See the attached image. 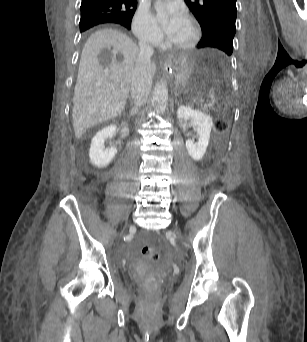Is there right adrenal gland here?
<instances>
[{"label":"right adrenal gland","instance_id":"1","mask_svg":"<svg viewBox=\"0 0 307 342\" xmlns=\"http://www.w3.org/2000/svg\"><path fill=\"white\" fill-rule=\"evenodd\" d=\"M136 110H132L131 114H135Z\"/></svg>","mask_w":307,"mask_h":342}]
</instances>
